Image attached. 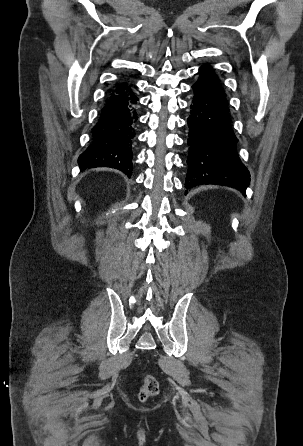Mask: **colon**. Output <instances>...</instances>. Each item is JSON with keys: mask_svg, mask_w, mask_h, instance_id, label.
<instances>
[{"mask_svg": "<svg viewBox=\"0 0 303 446\" xmlns=\"http://www.w3.org/2000/svg\"><path fill=\"white\" fill-rule=\"evenodd\" d=\"M159 392V385L156 378L150 374H147L144 378V383L139 392V398L141 401H146L148 398L157 395Z\"/></svg>", "mask_w": 303, "mask_h": 446, "instance_id": "colon-1", "label": "colon"}]
</instances>
